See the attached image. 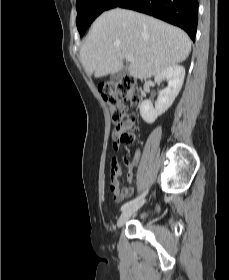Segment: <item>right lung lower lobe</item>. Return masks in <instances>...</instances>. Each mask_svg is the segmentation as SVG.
I'll list each match as a JSON object with an SVG mask.
<instances>
[{
	"label": "right lung lower lobe",
	"mask_w": 229,
	"mask_h": 280,
	"mask_svg": "<svg viewBox=\"0 0 229 280\" xmlns=\"http://www.w3.org/2000/svg\"><path fill=\"white\" fill-rule=\"evenodd\" d=\"M117 7L142 12L176 25L195 40L198 0H115L109 9Z\"/></svg>",
	"instance_id": "obj_1"
}]
</instances>
